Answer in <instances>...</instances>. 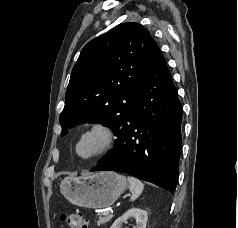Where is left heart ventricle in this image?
Wrapping results in <instances>:
<instances>
[{
	"mask_svg": "<svg viewBox=\"0 0 238 228\" xmlns=\"http://www.w3.org/2000/svg\"><path fill=\"white\" fill-rule=\"evenodd\" d=\"M96 146V139L94 138H89L85 140L79 148V151L82 155H86L90 153Z\"/></svg>",
	"mask_w": 238,
	"mask_h": 228,
	"instance_id": "left-heart-ventricle-1",
	"label": "left heart ventricle"
}]
</instances>
